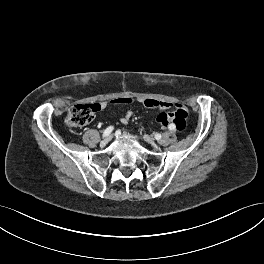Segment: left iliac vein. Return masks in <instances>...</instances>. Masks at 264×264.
<instances>
[{
	"mask_svg": "<svg viewBox=\"0 0 264 264\" xmlns=\"http://www.w3.org/2000/svg\"><path fill=\"white\" fill-rule=\"evenodd\" d=\"M143 138H144V140H145L146 142H148V143H153V138L150 137L149 135L145 134V135L143 136Z\"/></svg>",
	"mask_w": 264,
	"mask_h": 264,
	"instance_id": "1",
	"label": "left iliac vein"
}]
</instances>
